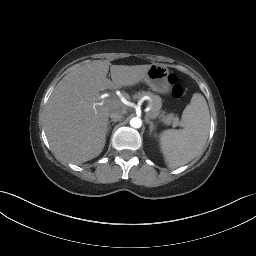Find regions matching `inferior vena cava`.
<instances>
[{
    "mask_svg": "<svg viewBox=\"0 0 256 256\" xmlns=\"http://www.w3.org/2000/svg\"><path fill=\"white\" fill-rule=\"evenodd\" d=\"M110 118L112 120L120 121L123 119V114L120 111H113L110 113Z\"/></svg>",
    "mask_w": 256,
    "mask_h": 256,
    "instance_id": "602c4592",
    "label": "inferior vena cava"
}]
</instances>
